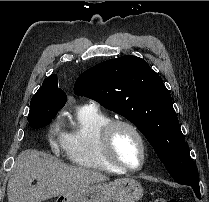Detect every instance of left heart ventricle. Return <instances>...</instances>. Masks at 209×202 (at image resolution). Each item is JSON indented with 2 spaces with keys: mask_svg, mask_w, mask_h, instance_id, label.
Wrapping results in <instances>:
<instances>
[{
  "mask_svg": "<svg viewBox=\"0 0 209 202\" xmlns=\"http://www.w3.org/2000/svg\"><path fill=\"white\" fill-rule=\"evenodd\" d=\"M111 146L114 156L121 162L133 167L140 164L141 145L129 129L124 127L116 129L112 136Z\"/></svg>",
  "mask_w": 209,
  "mask_h": 202,
  "instance_id": "1",
  "label": "left heart ventricle"
}]
</instances>
